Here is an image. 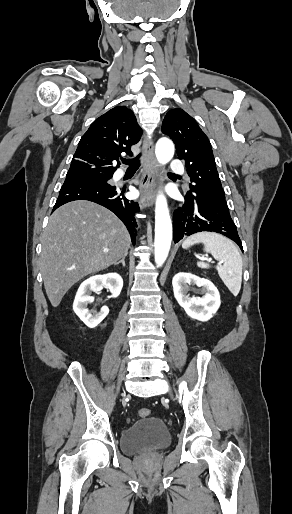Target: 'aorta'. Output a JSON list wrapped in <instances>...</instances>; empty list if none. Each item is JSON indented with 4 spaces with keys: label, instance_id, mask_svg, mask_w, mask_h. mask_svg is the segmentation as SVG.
<instances>
[{
    "label": "aorta",
    "instance_id": "aorta-1",
    "mask_svg": "<svg viewBox=\"0 0 292 514\" xmlns=\"http://www.w3.org/2000/svg\"><path fill=\"white\" fill-rule=\"evenodd\" d=\"M159 164H168L174 156V144L168 138L158 140L155 148ZM172 242V224L169 216L167 200L161 192L157 196L155 206V262L164 264Z\"/></svg>",
    "mask_w": 292,
    "mask_h": 514
}]
</instances>
